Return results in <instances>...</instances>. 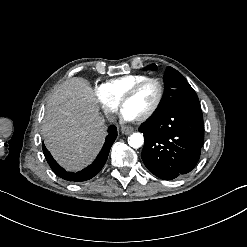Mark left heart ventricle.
Returning <instances> with one entry per match:
<instances>
[{
    "label": "left heart ventricle",
    "mask_w": 247,
    "mask_h": 247,
    "mask_svg": "<svg viewBox=\"0 0 247 247\" xmlns=\"http://www.w3.org/2000/svg\"><path fill=\"white\" fill-rule=\"evenodd\" d=\"M158 94V86L155 83H147L139 90L134 99L124 105V108L133 111L140 119L154 107Z\"/></svg>",
    "instance_id": "b2bd125f"
}]
</instances>
